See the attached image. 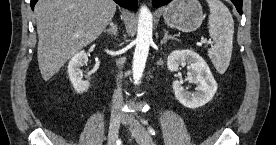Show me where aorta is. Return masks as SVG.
I'll use <instances>...</instances> for the list:
<instances>
[{
  "instance_id": "1",
  "label": "aorta",
  "mask_w": 276,
  "mask_h": 145,
  "mask_svg": "<svg viewBox=\"0 0 276 145\" xmlns=\"http://www.w3.org/2000/svg\"><path fill=\"white\" fill-rule=\"evenodd\" d=\"M152 27V14L146 6H142L139 12L138 30L135 40L136 47L132 65V75L135 84L139 83L145 69L149 46L152 42Z\"/></svg>"
}]
</instances>
